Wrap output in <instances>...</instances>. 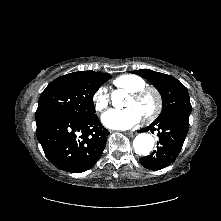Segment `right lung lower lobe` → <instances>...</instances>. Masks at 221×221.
Segmentation results:
<instances>
[{"mask_svg":"<svg viewBox=\"0 0 221 221\" xmlns=\"http://www.w3.org/2000/svg\"><path fill=\"white\" fill-rule=\"evenodd\" d=\"M109 131L97 115L88 118L57 117L37 125V139L57 168L81 173L101 157Z\"/></svg>","mask_w":221,"mask_h":221,"instance_id":"98d812e1","label":"right lung lower lobe"}]
</instances>
